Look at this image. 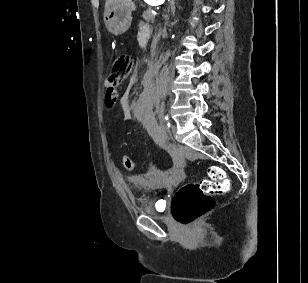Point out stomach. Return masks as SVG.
Instances as JSON below:
<instances>
[{
	"label": "stomach",
	"mask_w": 308,
	"mask_h": 283,
	"mask_svg": "<svg viewBox=\"0 0 308 283\" xmlns=\"http://www.w3.org/2000/svg\"><path fill=\"white\" fill-rule=\"evenodd\" d=\"M136 8L132 0H119L104 11V23L114 35L125 33L131 25L132 11Z\"/></svg>",
	"instance_id": "0dacf381"
}]
</instances>
